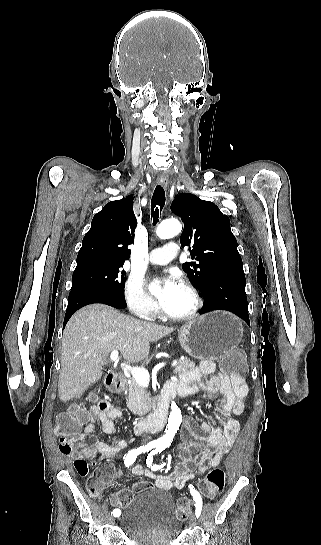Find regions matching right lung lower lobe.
Here are the masks:
<instances>
[{
	"label": "right lung lower lobe",
	"mask_w": 321,
	"mask_h": 545,
	"mask_svg": "<svg viewBox=\"0 0 321 545\" xmlns=\"http://www.w3.org/2000/svg\"><path fill=\"white\" fill-rule=\"evenodd\" d=\"M93 303H102L110 305L117 309H123L127 307L124 296L97 288H74L71 289L69 294L68 307L64 319V326L66 325L70 317L74 314V312H76L83 306Z\"/></svg>",
	"instance_id": "1"
}]
</instances>
